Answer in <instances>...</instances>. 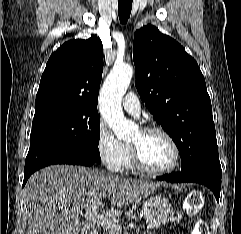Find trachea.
Listing matches in <instances>:
<instances>
[{"label":"trachea","instance_id":"obj_1","mask_svg":"<svg viewBox=\"0 0 241 234\" xmlns=\"http://www.w3.org/2000/svg\"><path fill=\"white\" fill-rule=\"evenodd\" d=\"M133 0H118V12L120 22L126 23L130 17Z\"/></svg>","mask_w":241,"mask_h":234}]
</instances>
